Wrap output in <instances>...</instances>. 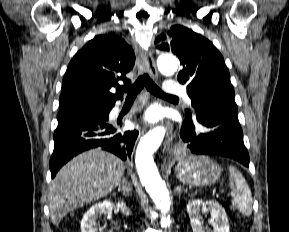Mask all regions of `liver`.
<instances>
[{
  "label": "liver",
  "instance_id": "liver-1",
  "mask_svg": "<svg viewBox=\"0 0 289 232\" xmlns=\"http://www.w3.org/2000/svg\"><path fill=\"white\" fill-rule=\"evenodd\" d=\"M124 163L100 148L79 154L51 182L48 205L58 226L71 211L107 196L121 181Z\"/></svg>",
  "mask_w": 289,
  "mask_h": 232
}]
</instances>
